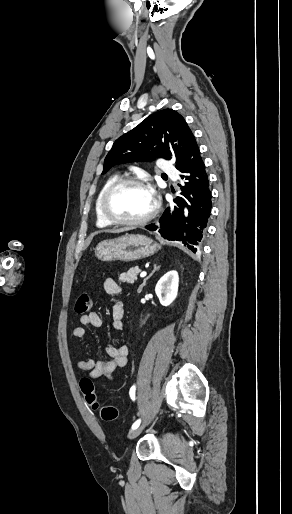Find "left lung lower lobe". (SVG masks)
Masks as SVG:
<instances>
[{"mask_svg":"<svg viewBox=\"0 0 292 514\" xmlns=\"http://www.w3.org/2000/svg\"><path fill=\"white\" fill-rule=\"evenodd\" d=\"M184 180L175 205L164 211L159 222L147 225L168 240L182 241L194 253L201 245L212 208V193L199 147L194 140L183 164L178 168Z\"/></svg>","mask_w":292,"mask_h":514,"instance_id":"1","label":"left lung lower lobe"}]
</instances>
